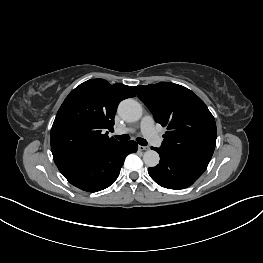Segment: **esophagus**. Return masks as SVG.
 Wrapping results in <instances>:
<instances>
[{"instance_id": "34e87169", "label": "esophagus", "mask_w": 263, "mask_h": 263, "mask_svg": "<svg viewBox=\"0 0 263 263\" xmlns=\"http://www.w3.org/2000/svg\"><path fill=\"white\" fill-rule=\"evenodd\" d=\"M148 149H149V148L146 147V146H141V145L138 146V150H139V151H146V150H148Z\"/></svg>"}]
</instances>
